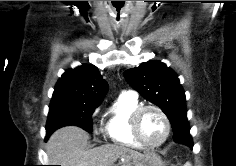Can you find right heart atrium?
<instances>
[{"mask_svg":"<svg viewBox=\"0 0 236 166\" xmlns=\"http://www.w3.org/2000/svg\"><path fill=\"white\" fill-rule=\"evenodd\" d=\"M97 114H98V110H96V111L93 113V115H92L94 121H96ZM94 129H95V132H96V133L99 132V129H98L96 126H94Z\"/></svg>","mask_w":236,"mask_h":166,"instance_id":"d8ad5b80","label":"right heart atrium"}]
</instances>
